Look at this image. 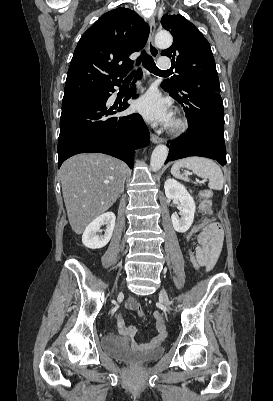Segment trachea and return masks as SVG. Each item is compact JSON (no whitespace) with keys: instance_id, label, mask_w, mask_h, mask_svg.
<instances>
[{"instance_id":"obj_1","label":"trachea","mask_w":273,"mask_h":401,"mask_svg":"<svg viewBox=\"0 0 273 401\" xmlns=\"http://www.w3.org/2000/svg\"><path fill=\"white\" fill-rule=\"evenodd\" d=\"M142 62V65L149 70V72L156 74H161L164 73V70H160L157 66L156 63H154L153 58L148 55L145 51L141 53V55L137 58L136 64L140 65ZM168 72V70L166 71ZM134 71H132L126 78L125 81H130L132 77L134 76Z\"/></svg>"}]
</instances>
